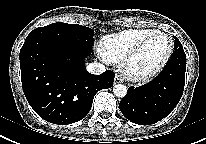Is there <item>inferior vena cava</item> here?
Here are the masks:
<instances>
[{
    "label": "inferior vena cava",
    "mask_w": 206,
    "mask_h": 144,
    "mask_svg": "<svg viewBox=\"0 0 206 144\" xmlns=\"http://www.w3.org/2000/svg\"><path fill=\"white\" fill-rule=\"evenodd\" d=\"M87 71L94 75H100L105 72V66L103 64L94 62L90 63L87 67Z\"/></svg>",
    "instance_id": "inferior-vena-cava-1"
}]
</instances>
